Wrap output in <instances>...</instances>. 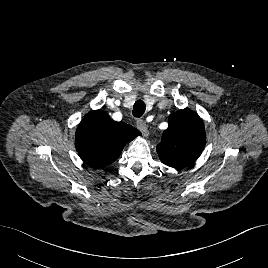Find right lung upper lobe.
Wrapping results in <instances>:
<instances>
[{"instance_id":"right-lung-upper-lobe-1","label":"right lung upper lobe","mask_w":268,"mask_h":268,"mask_svg":"<svg viewBox=\"0 0 268 268\" xmlns=\"http://www.w3.org/2000/svg\"><path fill=\"white\" fill-rule=\"evenodd\" d=\"M140 135L131 125L112 120L103 110H94L80 122L75 146L88 166L102 168L116 161L124 146Z\"/></svg>"}]
</instances>
